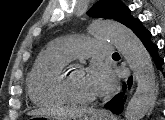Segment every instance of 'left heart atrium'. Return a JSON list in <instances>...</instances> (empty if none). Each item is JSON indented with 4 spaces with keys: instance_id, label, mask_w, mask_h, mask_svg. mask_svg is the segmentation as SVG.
Listing matches in <instances>:
<instances>
[{
    "instance_id": "1",
    "label": "left heart atrium",
    "mask_w": 165,
    "mask_h": 120,
    "mask_svg": "<svg viewBox=\"0 0 165 120\" xmlns=\"http://www.w3.org/2000/svg\"><path fill=\"white\" fill-rule=\"evenodd\" d=\"M87 72L97 95L109 94L114 89L116 83L115 75L106 64L94 62Z\"/></svg>"
}]
</instances>
